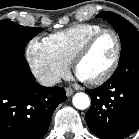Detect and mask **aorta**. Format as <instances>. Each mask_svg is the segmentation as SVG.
<instances>
[{"label":"aorta","mask_w":139,"mask_h":139,"mask_svg":"<svg viewBox=\"0 0 139 139\" xmlns=\"http://www.w3.org/2000/svg\"><path fill=\"white\" fill-rule=\"evenodd\" d=\"M73 105L79 110H85L90 106V98L83 92L76 93L72 98Z\"/></svg>","instance_id":"1"}]
</instances>
